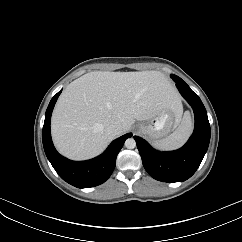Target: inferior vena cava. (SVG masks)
I'll return each instance as SVG.
<instances>
[{
	"mask_svg": "<svg viewBox=\"0 0 242 242\" xmlns=\"http://www.w3.org/2000/svg\"><path fill=\"white\" fill-rule=\"evenodd\" d=\"M108 132L113 136H119L121 134V125L119 123H112L108 127Z\"/></svg>",
	"mask_w": 242,
	"mask_h": 242,
	"instance_id": "602c4592",
	"label": "inferior vena cava"
}]
</instances>
